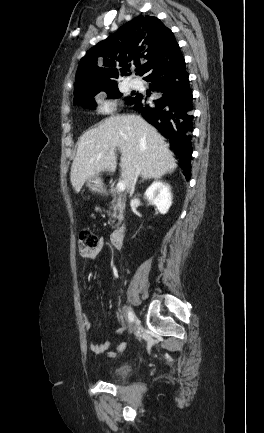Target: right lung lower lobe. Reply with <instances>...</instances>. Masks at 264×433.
<instances>
[{
    "label": "right lung lower lobe",
    "mask_w": 264,
    "mask_h": 433,
    "mask_svg": "<svg viewBox=\"0 0 264 433\" xmlns=\"http://www.w3.org/2000/svg\"><path fill=\"white\" fill-rule=\"evenodd\" d=\"M182 54L153 68L144 80L150 81V89L158 98L137 94L129 103L132 109L156 127L169 139L171 149L178 155L179 166L189 180L191 170L192 91Z\"/></svg>",
    "instance_id": "98d812e1"
}]
</instances>
